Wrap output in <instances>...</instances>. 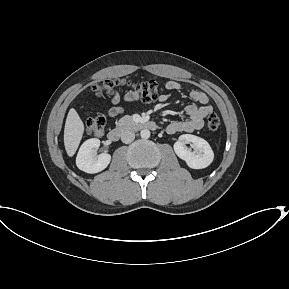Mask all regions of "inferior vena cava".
Listing matches in <instances>:
<instances>
[{
    "label": "inferior vena cava",
    "mask_w": 289,
    "mask_h": 289,
    "mask_svg": "<svg viewBox=\"0 0 289 289\" xmlns=\"http://www.w3.org/2000/svg\"><path fill=\"white\" fill-rule=\"evenodd\" d=\"M135 139V133L131 130H124L121 133V141L125 144L131 143Z\"/></svg>",
    "instance_id": "1"
}]
</instances>
